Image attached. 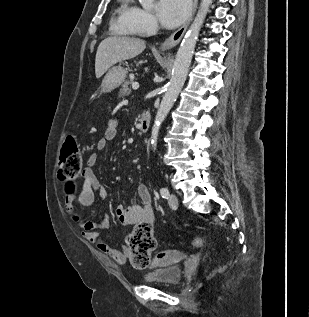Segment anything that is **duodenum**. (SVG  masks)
Returning <instances> with one entry per match:
<instances>
[{
    "instance_id": "obj_1",
    "label": "duodenum",
    "mask_w": 309,
    "mask_h": 317,
    "mask_svg": "<svg viewBox=\"0 0 309 317\" xmlns=\"http://www.w3.org/2000/svg\"><path fill=\"white\" fill-rule=\"evenodd\" d=\"M150 123H151V116L149 112L144 111L139 117L137 128L141 133H145L148 131L150 127Z\"/></svg>"
}]
</instances>
